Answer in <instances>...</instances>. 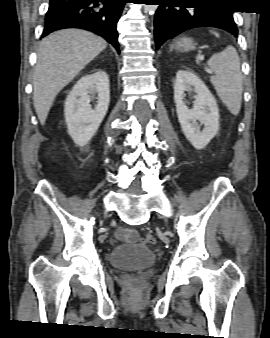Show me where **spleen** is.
<instances>
[{
  "mask_svg": "<svg viewBox=\"0 0 270 338\" xmlns=\"http://www.w3.org/2000/svg\"><path fill=\"white\" fill-rule=\"evenodd\" d=\"M207 65L214 73L210 81L219 98L233 115H237L241 108L243 79L236 49L227 46L222 52L212 55Z\"/></svg>",
  "mask_w": 270,
  "mask_h": 338,
  "instance_id": "spleen-1",
  "label": "spleen"
}]
</instances>
